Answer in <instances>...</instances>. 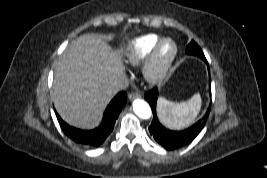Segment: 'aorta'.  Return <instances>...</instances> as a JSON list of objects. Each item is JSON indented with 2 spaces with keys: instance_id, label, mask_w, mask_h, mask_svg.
<instances>
[{
  "instance_id": "762f6f07",
  "label": "aorta",
  "mask_w": 267,
  "mask_h": 178,
  "mask_svg": "<svg viewBox=\"0 0 267 178\" xmlns=\"http://www.w3.org/2000/svg\"><path fill=\"white\" fill-rule=\"evenodd\" d=\"M133 110L135 114L142 119H149L152 116V110L149 104L141 99L133 101Z\"/></svg>"
}]
</instances>
